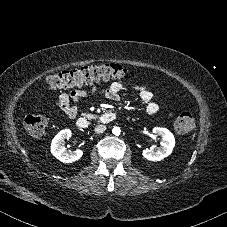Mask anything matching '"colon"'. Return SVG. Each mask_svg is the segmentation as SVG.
<instances>
[{"instance_id":"5ec220e1","label":"colon","mask_w":227,"mask_h":227,"mask_svg":"<svg viewBox=\"0 0 227 227\" xmlns=\"http://www.w3.org/2000/svg\"><path fill=\"white\" fill-rule=\"evenodd\" d=\"M102 79H128L135 77L130 70L114 63H101L83 66L80 68L61 71L48 76L47 84L56 90L72 89L89 85ZM195 124L191 112H182L174 122V128L180 133L190 131ZM24 125L27 131L34 136L41 135L48 126V119L42 115H27L24 118Z\"/></svg>"}]
</instances>
